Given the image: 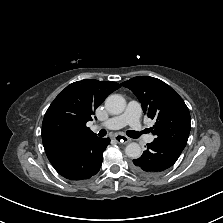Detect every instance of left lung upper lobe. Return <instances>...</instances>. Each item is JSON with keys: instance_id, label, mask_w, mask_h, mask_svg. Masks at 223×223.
Returning a JSON list of instances; mask_svg holds the SVG:
<instances>
[{"instance_id": "1", "label": "left lung upper lobe", "mask_w": 223, "mask_h": 223, "mask_svg": "<svg viewBox=\"0 0 223 223\" xmlns=\"http://www.w3.org/2000/svg\"><path fill=\"white\" fill-rule=\"evenodd\" d=\"M139 99L143 112L155 124L150 130L155 141H165L183 149L190 133V113L182 98L163 81L138 76L122 83Z\"/></svg>"}]
</instances>
